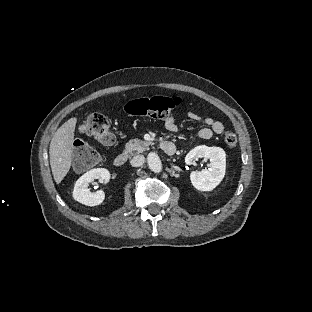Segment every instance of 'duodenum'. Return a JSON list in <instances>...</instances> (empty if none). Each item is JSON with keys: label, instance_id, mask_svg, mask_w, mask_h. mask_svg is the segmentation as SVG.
<instances>
[{"label": "duodenum", "instance_id": "duodenum-1", "mask_svg": "<svg viewBox=\"0 0 312 312\" xmlns=\"http://www.w3.org/2000/svg\"><path fill=\"white\" fill-rule=\"evenodd\" d=\"M160 148L167 155H175L177 153L176 145L172 142H169V141H162L160 143ZM127 159H128V153L122 152L115 157L114 165L116 167H123L126 164Z\"/></svg>", "mask_w": 312, "mask_h": 312}]
</instances>
